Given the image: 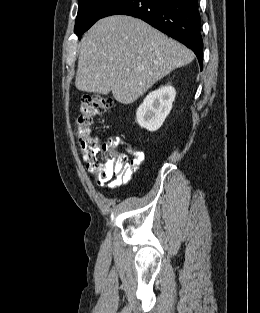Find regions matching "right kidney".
Segmentation results:
<instances>
[{
	"mask_svg": "<svg viewBox=\"0 0 260 313\" xmlns=\"http://www.w3.org/2000/svg\"><path fill=\"white\" fill-rule=\"evenodd\" d=\"M176 91L165 85L149 93L136 112V120L141 128L150 132L158 130L172 109Z\"/></svg>",
	"mask_w": 260,
	"mask_h": 313,
	"instance_id": "right-kidney-1",
	"label": "right kidney"
}]
</instances>
